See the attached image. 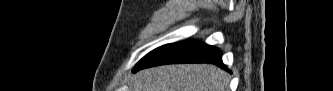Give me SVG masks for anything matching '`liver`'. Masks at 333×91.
Returning a JSON list of instances; mask_svg holds the SVG:
<instances>
[{
	"label": "liver",
	"instance_id": "obj_1",
	"mask_svg": "<svg viewBox=\"0 0 333 91\" xmlns=\"http://www.w3.org/2000/svg\"><path fill=\"white\" fill-rule=\"evenodd\" d=\"M229 75L208 64L166 65L138 72L134 91H229Z\"/></svg>",
	"mask_w": 333,
	"mask_h": 91
}]
</instances>
